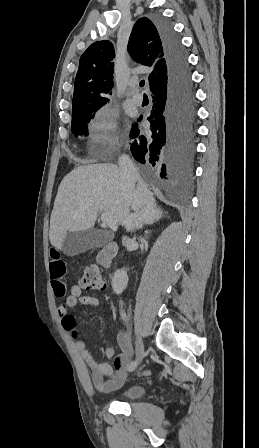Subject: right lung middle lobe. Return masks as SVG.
Here are the masks:
<instances>
[{
  "instance_id": "right-lung-middle-lobe-1",
  "label": "right lung middle lobe",
  "mask_w": 259,
  "mask_h": 448,
  "mask_svg": "<svg viewBox=\"0 0 259 448\" xmlns=\"http://www.w3.org/2000/svg\"><path fill=\"white\" fill-rule=\"evenodd\" d=\"M101 106L90 107L83 110H77L72 112V133L75 136L78 135H87L88 133V123L93 118V114L97 111Z\"/></svg>"
}]
</instances>
